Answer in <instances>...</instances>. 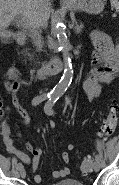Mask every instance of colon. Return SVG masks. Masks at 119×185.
<instances>
[{
  "instance_id": "colon-1",
  "label": "colon",
  "mask_w": 119,
  "mask_h": 185,
  "mask_svg": "<svg viewBox=\"0 0 119 185\" xmlns=\"http://www.w3.org/2000/svg\"><path fill=\"white\" fill-rule=\"evenodd\" d=\"M111 11L114 17H116L119 13V0H111ZM118 123V115H117V104L116 102H112L109 107V112L102 124L101 131L102 135L105 138L110 137ZM93 160L91 157H86L81 162L80 170L82 173H89L92 169Z\"/></svg>"
}]
</instances>
